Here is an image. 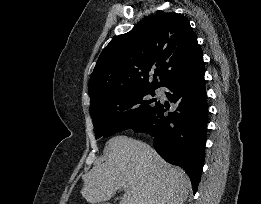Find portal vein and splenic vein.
Instances as JSON below:
<instances>
[{
	"instance_id": "1",
	"label": "portal vein and splenic vein",
	"mask_w": 261,
	"mask_h": 204,
	"mask_svg": "<svg viewBox=\"0 0 261 204\" xmlns=\"http://www.w3.org/2000/svg\"><path fill=\"white\" fill-rule=\"evenodd\" d=\"M123 189H124V190H127V189H128V186H127V185H124V186H123Z\"/></svg>"
}]
</instances>
